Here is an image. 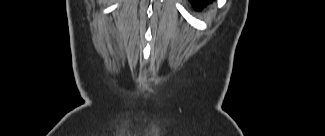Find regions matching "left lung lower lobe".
<instances>
[{
	"instance_id": "0a47b994",
	"label": "left lung lower lobe",
	"mask_w": 325,
	"mask_h": 136,
	"mask_svg": "<svg viewBox=\"0 0 325 136\" xmlns=\"http://www.w3.org/2000/svg\"><path fill=\"white\" fill-rule=\"evenodd\" d=\"M191 2L195 6V8L198 9L207 5V3L211 2V0H191Z\"/></svg>"
}]
</instances>
